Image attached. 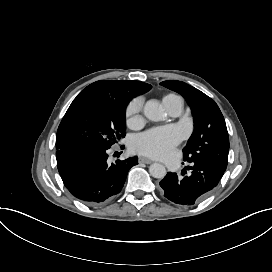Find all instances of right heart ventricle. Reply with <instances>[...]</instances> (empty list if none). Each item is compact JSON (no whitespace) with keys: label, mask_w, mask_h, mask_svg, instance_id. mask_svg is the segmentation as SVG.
I'll return each mask as SVG.
<instances>
[{"label":"right heart ventricle","mask_w":272,"mask_h":272,"mask_svg":"<svg viewBox=\"0 0 272 272\" xmlns=\"http://www.w3.org/2000/svg\"><path fill=\"white\" fill-rule=\"evenodd\" d=\"M176 95H168L164 97L163 104L165 109L170 113V101L175 97Z\"/></svg>","instance_id":"right-heart-ventricle-1"}]
</instances>
